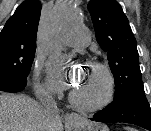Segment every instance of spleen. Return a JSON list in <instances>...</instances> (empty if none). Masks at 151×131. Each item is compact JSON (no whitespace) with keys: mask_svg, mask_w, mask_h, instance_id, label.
<instances>
[{"mask_svg":"<svg viewBox=\"0 0 151 131\" xmlns=\"http://www.w3.org/2000/svg\"><path fill=\"white\" fill-rule=\"evenodd\" d=\"M127 131H135L134 129L132 128H126Z\"/></svg>","mask_w":151,"mask_h":131,"instance_id":"obj_1","label":"spleen"}]
</instances>
